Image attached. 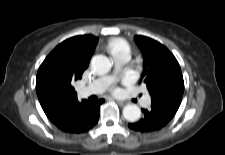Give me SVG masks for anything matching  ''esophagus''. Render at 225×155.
Returning a JSON list of instances; mask_svg holds the SVG:
<instances>
[{
  "instance_id": "obj_1",
  "label": "esophagus",
  "mask_w": 225,
  "mask_h": 155,
  "mask_svg": "<svg viewBox=\"0 0 225 155\" xmlns=\"http://www.w3.org/2000/svg\"><path fill=\"white\" fill-rule=\"evenodd\" d=\"M120 106H125L127 103L121 100H115Z\"/></svg>"
}]
</instances>
